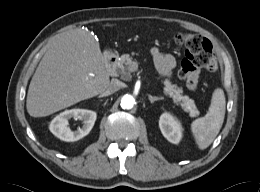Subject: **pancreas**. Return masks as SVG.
Returning a JSON list of instances; mask_svg holds the SVG:
<instances>
[{
    "instance_id": "cf45deb5",
    "label": "pancreas",
    "mask_w": 260,
    "mask_h": 192,
    "mask_svg": "<svg viewBox=\"0 0 260 192\" xmlns=\"http://www.w3.org/2000/svg\"><path fill=\"white\" fill-rule=\"evenodd\" d=\"M135 64H137V62L129 54L121 55L118 64V73L123 79L129 80ZM162 83L164 85V93L170 96L175 104L180 105L185 112H188L190 117L199 115L194 100L190 99L188 96H183L181 88L176 84H173L170 79L167 78L163 80Z\"/></svg>"
}]
</instances>
